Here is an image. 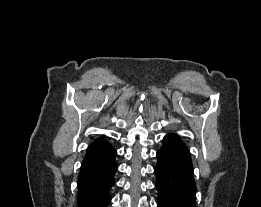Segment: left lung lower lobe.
Here are the masks:
<instances>
[{
  "label": "left lung lower lobe",
  "mask_w": 261,
  "mask_h": 207,
  "mask_svg": "<svg viewBox=\"0 0 261 207\" xmlns=\"http://www.w3.org/2000/svg\"><path fill=\"white\" fill-rule=\"evenodd\" d=\"M156 156L158 207H196L194 168L187 145L177 134H167Z\"/></svg>",
  "instance_id": "obj_1"
}]
</instances>
